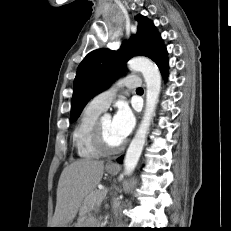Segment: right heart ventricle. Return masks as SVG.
<instances>
[{
  "mask_svg": "<svg viewBox=\"0 0 231 231\" xmlns=\"http://www.w3.org/2000/svg\"><path fill=\"white\" fill-rule=\"evenodd\" d=\"M101 112L89 104L82 112L73 130V145L77 155L82 159H95L102 155L92 140L93 129Z\"/></svg>",
  "mask_w": 231,
  "mask_h": 231,
  "instance_id": "e07e8e85",
  "label": "right heart ventricle"
}]
</instances>
